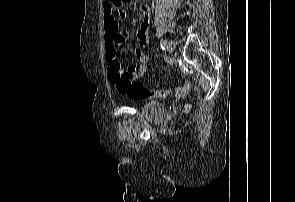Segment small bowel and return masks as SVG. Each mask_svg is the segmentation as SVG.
Segmentation results:
<instances>
[{"mask_svg": "<svg viewBox=\"0 0 295 202\" xmlns=\"http://www.w3.org/2000/svg\"><path fill=\"white\" fill-rule=\"evenodd\" d=\"M141 21L137 30L138 45L132 50L134 64L123 66L120 61V51L126 40V33L119 28L120 19L125 11L122 5L115 4L112 0H105L103 5V26H104V44L106 48V61L108 64V74L111 81L116 82V70L119 67H128L133 78H139L146 72L148 56L142 51L149 42V21L150 10L147 5L140 6ZM118 15V16H117Z\"/></svg>", "mask_w": 295, "mask_h": 202, "instance_id": "obj_1", "label": "small bowel"}]
</instances>
